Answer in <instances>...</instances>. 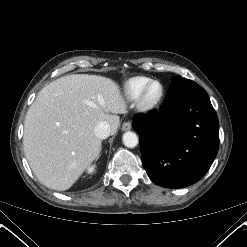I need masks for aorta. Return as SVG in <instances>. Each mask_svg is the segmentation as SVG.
I'll list each match as a JSON object with an SVG mask.
<instances>
[{
	"mask_svg": "<svg viewBox=\"0 0 247 247\" xmlns=\"http://www.w3.org/2000/svg\"><path fill=\"white\" fill-rule=\"evenodd\" d=\"M123 143L128 148H134L138 145V137L137 135L132 131H127L123 134L122 137Z\"/></svg>",
	"mask_w": 247,
	"mask_h": 247,
	"instance_id": "aorta-1",
	"label": "aorta"
}]
</instances>
